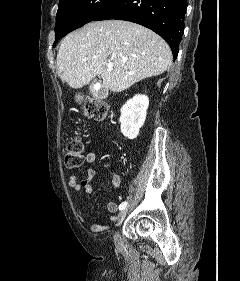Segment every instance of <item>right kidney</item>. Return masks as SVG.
<instances>
[{"label": "right kidney", "instance_id": "obj_1", "mask_svg": "<svg viewBox=\"0 0 240 281\" xmlns=\"http://www.w3.org/2000/svg\"><path fill=\"white\" fill-rule=\"evenodd\" d=\"M149 106V98L146 95H135L129 99L121 108V133L128 139H135L140 128L143 126L147 109Z\"/></svg>", "mask_w": 240, "mask_h": 281}]
</instances>
